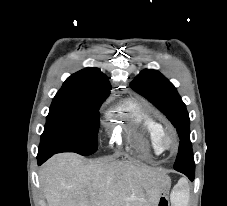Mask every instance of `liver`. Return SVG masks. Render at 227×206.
Segmentation results:
<instances>
[{
  "mask_svg": "<svg viewBox=\"0 0 227 206\" xmlns=\"http://www.w3.org/2000/svg\"><path fill=\"white\" fill-rule=\"evenodd\" d=\"M39 179L48 206H157L171 182L155 168L120 160L85 163L72 153L49 159Z\"/></svg>",
  "mask_w": 227,
  "mask_h": 206,
  "instance_id": "6515ba94",
  "label": "liver"
}]
</instances>
